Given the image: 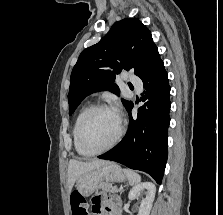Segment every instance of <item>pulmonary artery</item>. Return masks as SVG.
I'll return each instance as SVG.
<instances>
[{
    "mask_svg": "<svg viewBox=\"0 0 223 215\" xmlns=\"http://www.w3.org/2000/svg\"><path fill=\"white\" fill-rule=\"evenodd\" d=\"M123 74H126L127 78H131V86L135 87V89L133 90L134 94H137V97H140V90L144 89L145 83L140 81V78L137 77L136 73H131L130 69H123L122 70Z\"/></svg>",
    "mask_w": 223,
    "mask_h": 215,
    "instance_id": "1",
    "label": "pulmonary artery"
}]
</instances>
